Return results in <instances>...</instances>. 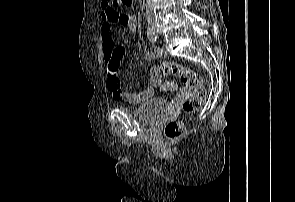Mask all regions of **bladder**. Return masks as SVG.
Masks as SVG:
<instances>
[{"label": "bladder", "mask_w": 295, "mask_h": 202, "mask_svg": "<svg viewBox=\"0 0 295 202\" xmlns=\"http://www.w3.org/2000/svg\"><path fill=\"white\" fill-rule=\"evenodd\" d=\"M168 111V104L161 97H154L138 105L134 110V116L145 123L160 121Z\"/></svg>", "instance_id": "31cf9c89"}]
</instances>
